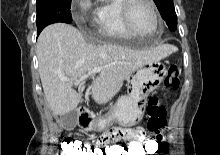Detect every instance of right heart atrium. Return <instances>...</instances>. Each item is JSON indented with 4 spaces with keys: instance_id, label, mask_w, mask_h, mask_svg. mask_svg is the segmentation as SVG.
<instances>
[{
    "instance_id": "d8ad5b80",
    "label": "right heart atrium",
    "mask_w": 220,
    "mask_h": 155,
    "mask_svg": "<svg viewBox=\"0 0 220 155\" xmlns=\"http://www.w3.org/2000/svg\"><path fill=\"white\" fill-rule=\"evenodd\" d=\"M91 4L89 0H80L79 3V14L75 15L77 20H81L84 18V14L90 9Z\"/></svg>"
}]
</instances>
